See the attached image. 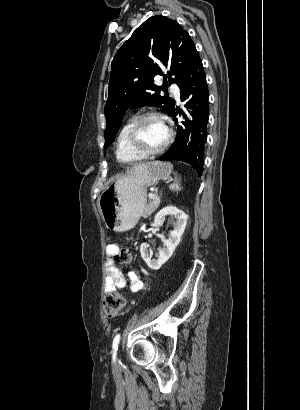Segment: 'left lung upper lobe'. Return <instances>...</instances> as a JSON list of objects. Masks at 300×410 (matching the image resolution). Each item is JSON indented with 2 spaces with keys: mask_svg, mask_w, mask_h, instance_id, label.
<instances>
[{
  "mask_svg": "<svg viewBox=\"0 0 300 410\" xmlns=\"http://www.w3.org/2000/svg\"><path fill=\"white\" fill-rule=\"evenodd\" d=\"M197 54L188 32L165 16L150 17L133 32L111 64L104 149L113 142L130 106L160 107L171 116L175 101L160 95L167 88L166 77L170 84H178ZM157 75L164 76V87L153 83Z\"/></svg>",
  "mask_w": 300,
  "mask_h": 410,
  "instance_id": "1",
  "label": "left lung upper lobe"
}]
</instances>
